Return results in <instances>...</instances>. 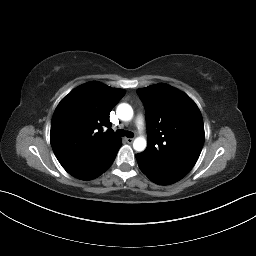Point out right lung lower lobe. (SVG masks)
I'll use <instances>...</instances> for the list:
<instances>
[{
	"mask_svg": "<svg viewBox=\"0 0 256 256\" xmlns=\"http://www.w3.org/2000/svg\"><path fill=\"white\" fill-rule=\"evenodd\" d=\"M121 144L106 150L92 159L68 167L65 170L72 176L81 180H91L104 173L113 163Z\"/></svg>",
	"mask_w": 256,
	"mask_h": 256,
	"instance_id": "98d812e1",
	"label": "right lung lower lobe"
}]
</instances>
